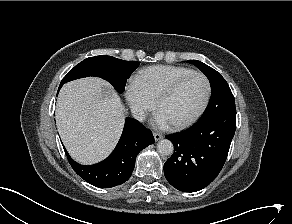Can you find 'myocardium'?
<instances>
[{"instance_id": "myocardium-1", "label": "myocardium", "mask_w": 292, "mask_h": 224, "mask_svg": "<svg viewBox=\"0 0 292 224\" xmlns=\"http://www.w3.org/2000/svg\"><path fill=\"white\" fill-rule=\"evenodd\" d=\"M193 77H201L205 83H206V95L205 99L201 105V107L198 109V111L188 120L170 125V128L173 130H183L192 124H194L206 111L210 100L212 96V85L209 80V78L202 72H192L189 73L178 80H176L174 83H172L168 88H166L163 92L160 93V95L155 100V109L158 111L160 105L172 97L188 80H190Z\"/></svg>"}]
</instances>
